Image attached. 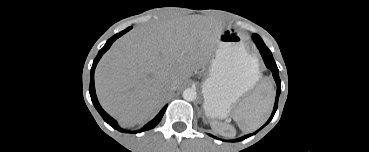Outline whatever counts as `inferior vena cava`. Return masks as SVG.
Segmentation results:
<instances>
[{
	"mask_svg": "<svg viewBox=\"0 0 369 152\" xmlns=\"http://www.w3.org/2000/svg\"><path fill=\"white\" fill-rule=\"evenodd\" d=\"M177 87H178V85H177V82L176 81H173V80H168L167 81V88L169 90H176Z\"/></svg>",
	"mask_w": 369,
	"mask_h": 152,
	"instance_id": "1",
	"label": "inferior vena cava"
}]
</instances>
